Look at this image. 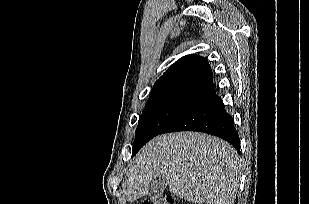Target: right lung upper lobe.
Returning a JSON list of instances; mask_svg holds the SVG:
<instances>
[{
	"mask_svg": "<svg viewBox=\"0 0 309 204\" xmlns=\"http://www.w3.org/2000/svg\"><path fill=\"white\" fill-rule=\"evenodd\" d=\"M216 96L207 60L186 55L176 61L153 86L148 103L177 101L196 105Z\"/></svg>",
	"mask_w": 309,
	"mask_h": 204,
	"instance_id": "cb5924a9",
	"label": "right lung upper lobe"
}]
</instances>
